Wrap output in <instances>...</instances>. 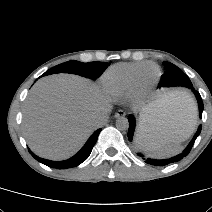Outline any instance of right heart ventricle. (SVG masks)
<instances>
[{
  "instance_id": "obj_1",
  "label": "right heart ventricle",
  "mask_w": 212,
  "mask_h": 212,
  "mask_svg": "<svg viewBox=\"0 0 212 212\" xmlns=\"http://www.w3.org/2000/svg\"><path fill=\"white\" fill-rule=\"evenodd\" d=\"M143 71L155 75L158 67L149 62L116 64L104 73L102 85L114 97L130 95L138 89L139 75Z\"/></svg>"
}]
</instances>
